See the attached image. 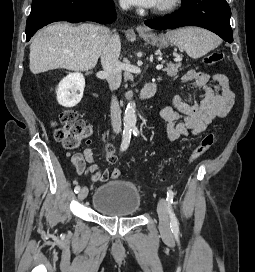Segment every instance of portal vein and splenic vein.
<instances>
[{"label": "portal vein and splenic vein", "instance_id": "1", "mask_svg": "<svg viewBox=\"0 0 255 272\" xmlns=\"http://www.w3.org/2000/svg\"><path fill=\"white\" fill-rule=\"evenodd\" d=\"M163 68V64H158L157 66H156V69L157 70H160V69H162Z\"/></svg>", "mask_w": 255, "mask_h": 272}]
</instances>
